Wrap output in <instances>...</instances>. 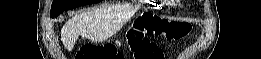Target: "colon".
I'll return each instance as SVG.
<instances>
[{
	"mask_svg": "<svg viewBox=\"0 0 261 59\" xmlns=\"http://www.w3.org/2000/svg\"><path fill=\"white\" fill-rule=\"evenodd\" d=\"M190 26L169 22L158 16H145L130 32L129 43L135 59H162L163 53L150 40L152 36H163L167 40L177 41L185 37ZM114 47L86 44L81 47L75 59H121Z\"/></svg>",
	"mask_w": 261,
	"mask_h": 59,
	"instance_id": "obj_1",
	"label": "colon"
}]
</instances>
